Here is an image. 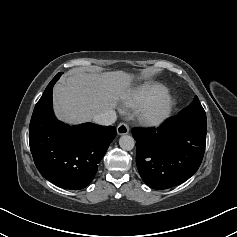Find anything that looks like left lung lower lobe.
I'll use <instances>...</instances> for the list:
<instances>
[{
	"label": "left lung lower lobe",
	"mask_w": 237,
	"mask_h": 237,
	"mask_svg": "<svg viewBox=\"0 0 237 237\" xmlns=\"http://www.w3.org/2000/svg\"><path fill=\"white\" fill-rule=\"evenodd\" d=\"M207 123L167 119L159 129H132L136 163L143 181L167 189L188 180L199 168L206 146Z\"/></svg>",
	"instance_id": "0a47b994"
}]
</instances>
